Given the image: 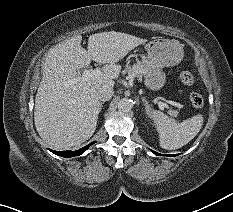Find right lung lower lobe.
I'll use <instances>...</instances> for the list:
<instances>
[{"instance_id":"right-lung-lower-lobe-1","label":"right lung lower lobe","mask_w":233,"mask_h":212,"mask_svg":"<svg viewBox=\"0 0 233 212\" xmlns=\"http://www.w3.org/2000/svg\"><path fill=\"white\" fill-rule=\"evenodd\" d=\"M93 143L83 147V148H80L79 150H76V151H54V150H50L51 152H53L54 154L56 155H59V156H62V157H66V158H69V157H74V156H78V155H81L83 152H85L89 147L90 145H92Z\"/></svg>"}]
</instances>
